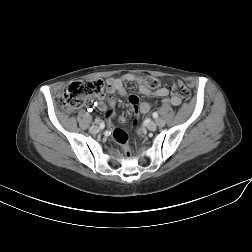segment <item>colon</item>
<instances>
[{
	"label": "colon",
	"instance_id": "obj_1",
	"mask_svg": "<svg viewBox=\"0 0 252 252\" xmlns=\"http://www.w3.org/2000/svg\"><path fill=\"white\" fill-rule=\"evenodd\" d=\"M141 82L144 86L157 89L160 86V81L158 78L153 76H141ZM104 83L101 80H92V81H78L70 84L65 91L63 92L60 98L61 108L68 113H71L84 105H86L89 100L93 97H100L103 94ZM171 91L177 97L187 100L190 97L189 89L180 81H175L171 85ZM135 111L137 108L134 107ZM120 120L121 123L126 122V116L123 115ZM134 120L133 124H136ZM113 136L115 140L124 145L127 142L128 135L126 131L121 128H117L113 131ZM125 153L129 156L128 149H125Z\"/></svg>",
	"mask_w": 252,
	"mask_h": 252
}]
</instances>
